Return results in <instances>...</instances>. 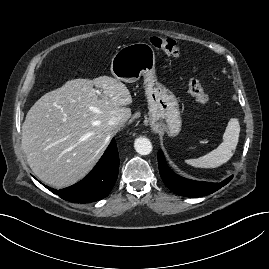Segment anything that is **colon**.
<instances>
[{
    "label": "colon",
    "mask_w": 269,
    "mask_h": 269,
    "mask_svg": "<svg viewBox=\"0 0 269 269\" xmlns=\"http://www.w3.org/2000/svg\"><path fill=\"white\" fill-rule=\"evenodd\" d=\"M151 46L169 56L178 57L181 53L180 45L173 39L152 37ZM188 90L195 100L201 105H208L210 98L204 90L201 82L196 77H190L188 80Z\"/></svg>",
    "instance_id": "1"
}]
</instances>
